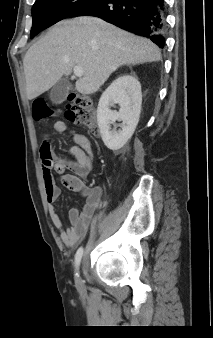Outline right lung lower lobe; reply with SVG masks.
Returning a JSON list of instances; mask_svg holds the SVG:
<instances>
[{
  "mask_svg": "<svg viewBox=\"0 0 213 338\" xmlns=\"http://www.w3.org/2000/svg\"><path fill=\"white\" fill-rule=\"evenodd\" d=\"M81 15L102 18L164 47V0H94L76 10L70 17Z\"/></svg>",
  "mask_w": 213,
  "mask_h": 338,
  "instance_id": "right-lung-lower-lobe-1",
  "label": "right lung lower lobe"
}]
</instances>
